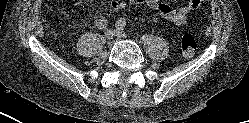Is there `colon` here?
<instances>
[{
	"label": "colon",
	"mask_w": 249,
	"mask_h": 123,
	"mask_svg": "<svg viewBox=\"0 0 249 123\" xmlns=\"http://www.w3.org/2000/svg\"><path fill=\"white\" fill-rule=\"evenodd\" d=\"M181 52L185 57H192L197 50V42L193 35L185 34L181 38Z\"/></svg>",
	"instance_id": "1"
}]
</instances>
